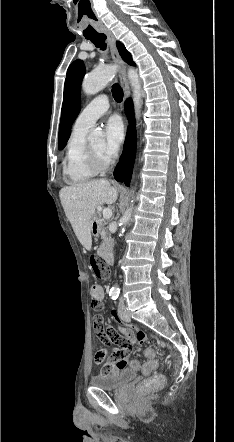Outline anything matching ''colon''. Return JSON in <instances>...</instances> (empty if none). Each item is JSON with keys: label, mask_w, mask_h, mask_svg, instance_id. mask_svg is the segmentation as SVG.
Instances as JSON below:
<instances>
[{"label": "colon", "mask_w": 234, "mask_h": 442, "mask_svg": "<svg viewBox=\"0 0 234 442\" xmlns=\"http://www.w3.org/2000/svg\"><path fill=\"white\" fill-rule=\"evenodd\" d=\"M90 265L94 274L103 280L110 278L109 265L99 256H92L90 258ZM104 292L99 285H93L91 288V306L94 310H100L103 307ZM94 320V319H93ZM103 322V320H102ZM95 328V327H94ZM98 336V334L96 333ZM109 345V343H105ZM142 353L147 358L145 363L132 359L128 356L129 350L118 348L111 354L110 358L105 361L103 366L104 372L119 370L127 368L128 372L133 373L140 371L144 375H149L158 368V361L156 360L157 352L152 346H147L142 350ZM105 357L103 352L98 353L97 361H102ZM140 388L144 390L164 389L165 378L161 375H155L148 380L140 381Z\"/></svg>", "instance_id": "obj_1"}]
</instances>
